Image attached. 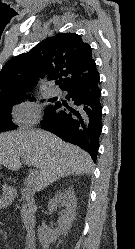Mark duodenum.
I'll return each mask as SVG.
<instances>
[{
	"mask_svg": "<svg viewBox=\"0 0 135 249\" xmlns=\"http://www.w3.org/2000/svg\"><path fill=\"white\" fill-rule=\"evenodd\" d=\"M20 195L26 200H30L32 198L31 191L28 188H23L20 191ZM33 227L34 225L31 222H29L27 226L28 231L31 232L33 230ZM34 244H35L34 238H32V236H29L28 246L31 248L34 246Z\"/></svg>",
	"mask_w": 135,
	"mask_h": 249,
	"instance_id": "1",
	"label": "duodenum"
}]
</instances>
